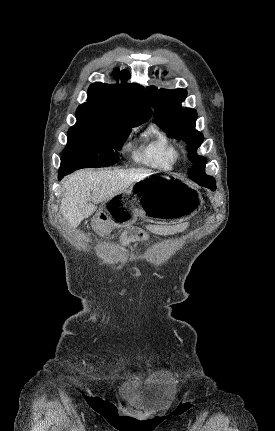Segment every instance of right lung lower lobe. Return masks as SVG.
<instances>
[{
	"mask_svg": "<svg viewBox=\"0 0 275 431\" xmlns=\"http://www.w3.org/2000/svg\"><path fill=\"white\" fill-rule=\"evenodd\" d=\"M69 173H71V172H63V171H60V170H59L58 179H59V180H60V179H62L65 175H67V174H69Z\"/></svg>",
	"mask_w": 275,
	"mask_h": 431,
	"instance_id": "1",
	"label": "right lung lower lobe"
}]
</instances>
